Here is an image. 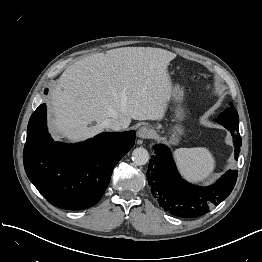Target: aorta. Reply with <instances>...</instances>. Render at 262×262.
<instances>
[{
	"instance_id": "762f6f07",
	"label": "aorta",
	"mask_w": 262,
	"mask_h": 262,
	"mask_svg": "<svg viewBox=\"0 0 262 262\" xmlns=\"http://www.w3.org/2000/svg\"><path fill=\"white\" fill-rule=\"evenodd\" d=\"M132 160L136 165H145L149 161V153L145 148H136L132 152Z\"/></svg>"
}]
</instances>
